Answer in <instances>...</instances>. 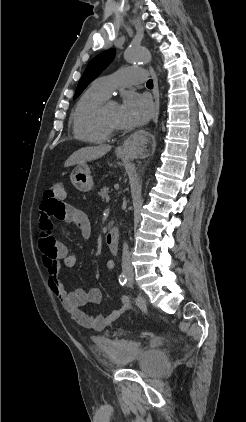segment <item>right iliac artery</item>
Masks as SVG:
<instances>
[{
  "instance_id": "right-iliac-artery-1",
  "label": "right iliac artery",
  "mask_w": 246,
  "mask_h": 422,
  "mask_svg": "<svg viewBox=\"0 0 246 422\" xmlns=\"http://www.w3.org/2000/svg\"><path fill=\"white\" fill-rule=\"evenodd\" d=\"M126 282H127L126 275H125L124 273H121V274L119 275V283H120L121 285H125V284H126Z\"/></svg>"
}]
</instances>
